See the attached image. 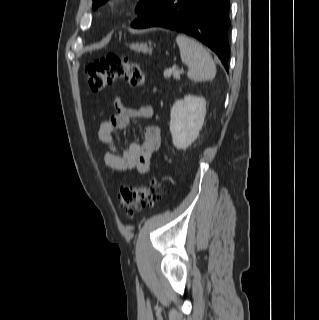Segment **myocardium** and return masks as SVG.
<instances>
[{
  "mask_svg": "<svg viewBox=\"0 0 319 320\" xmlns=\"http://www.w3.org/2000/svg\"><path fill=\"white\" fill-rule=\"evenodd\" d=\"M129 6V1L128 0H114L111 4L110 7L114 11H122L125 10Z\"/></svg>",
  "mask_w": 319,
  "mask_h": 320,
  "instance_id": "f54148a6",
  "label": "myocardium"
}]
</instances>
